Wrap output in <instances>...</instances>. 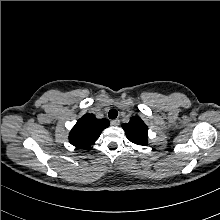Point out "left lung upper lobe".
<instances>
[{
	"mask_svg": "<svg viewBox=\"0 0 220 220\" xmlns=\"http://www.w3.org/2000/svg\"><path fill=\"white\" fill-rule=\"evenodd\" d=\"M129 141L137 145H146L148 137V127L138 116L130 119L129 123L122 124Z\"/></svg>",
	"mask_w": 220,
	"mask_h": 220,
	"instance_id": "obj_1",
	"label": "left lung upper lobe"
}]
</instances>
